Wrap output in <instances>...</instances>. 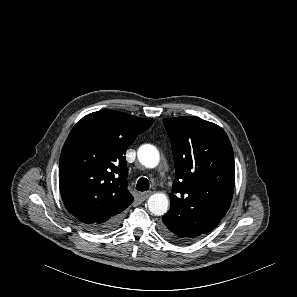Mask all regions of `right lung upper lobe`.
<instances>
[{
  "mask_svg": "<svg viewBox=\"0 0 297 297\" xmlns=\"http://www.w3.org/2000/svg\"><path fill=\"white\" fill-rule=\"evenodd\" d=\"M153 122L103 110L71 130L60 155L59 186L64 205L84 227L106 222L133 202L124 155Z\"/></svg>",
  "mask_w": 297,
  "mask_h": 297,
  "instance_id": "1",
  "label": "right lung upper lobe"
}]
</instances>
